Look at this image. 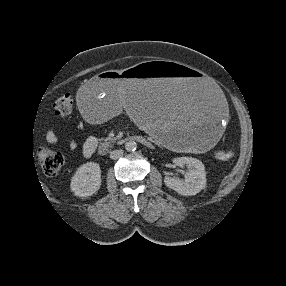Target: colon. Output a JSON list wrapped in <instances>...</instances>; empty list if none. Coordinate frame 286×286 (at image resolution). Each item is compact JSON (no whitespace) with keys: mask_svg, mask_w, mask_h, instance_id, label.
I'll return each instance as SVG.
<instances>
[{"mask_svg":"<svg viewBox=\"0 0 286 286\" xmlns=\"http://www.w3.org/2000/svg\"><path fill=\"white\" fill-rule=\"evenodd\" d=\"M53 109L60 117L68 116L73 109L72 97L69 95L59 97L55 100ZM222 154L223 151L218 153V156L224 159ZM37 155L39 163L47 176H55L59 172L64 162V158L61 153L48 148H39Z\"/></svg>","mask_w":286,"mask_h":286,"instance_id":"obj_1","label":"colon"}]
</instances>
